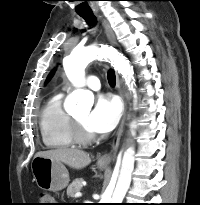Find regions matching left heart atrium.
Wrapping results in <instances>:
<instances>
[{"label": "left heart atrium", "instance_id": "left-heart-atrium-1", "mask_svg": "<svg viewBox=\"0 0 200 205\" xmlns=\"http://www.w3.org/2000/svg\"><path fill=\"white\" fill-rule=\"evenodd\" d=\"M121 114L119 102L112 96L101 95L86 119L88 129L95 134L108 133L117 125Z\"/></svg>", "mask_w": 200, "mask_h": 205}]
</instances>
